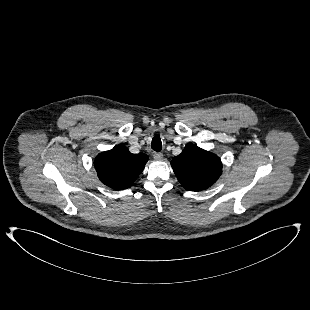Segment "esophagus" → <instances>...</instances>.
<instances>
[{
    "label": "esophagus",
    "instance_id": "34e87169",
    "mask_svg": "<svg viewBox=\"0 0 310 310\" xmlns=\"http://www.w3.org/2000/svg\"><path fill=\"white\" fill-rule=\"evenodd\" d=\"M153 157L155 160H162L163 159V154L160 152H156L153 154Z\"/></svg>",
    "mask_w": 310,
    "mask_h": 310
}]
</instances>
